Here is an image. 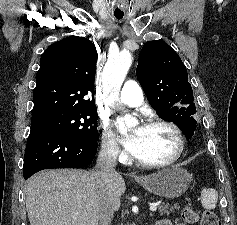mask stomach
<instances>
[{"label":"stomach","instance_id":"0dacf381","mask_svg":"<svg viewBox=\"0 0 237 225\" xmlns=\"http://www.w3.org/2000/svg\"><path fill=\"white\" fill-rule=\"evenodd\" d=\"M192 177L183 168L171 166L136 181L147 191L166 198H177L189 188Z\"/></svg>","mask_w":237,"mask_h":225}]
</instances>
